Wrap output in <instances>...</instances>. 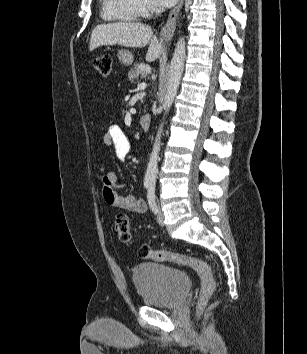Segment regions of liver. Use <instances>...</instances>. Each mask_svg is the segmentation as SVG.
Returning a JSON list of instances; mask_svg holds the SVG:
<instances>
[{
  "label": "liver",
  "mask_w": 307,
  "mask_h": 354,
  "mask_svg": "<svg viewBox=\"0 0 307 354\" xmlns=\"http://www.w3.org/2000/svg\"><path fill=\"white\" fill-rule=\"evenodd\" d=\"M121 45L125 47H145L149 44L146 61H155L163 52V45L153 35L152 28L142 23L117 22L101 24L92 32L89 50L100 46Z\"/></svg>",
  "instance_id": "liver-1"
}]
</instances>
